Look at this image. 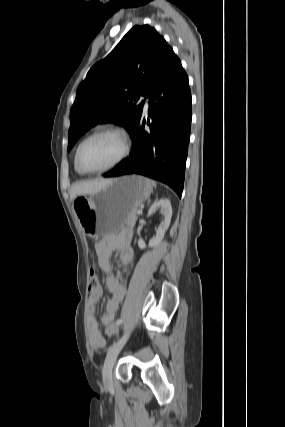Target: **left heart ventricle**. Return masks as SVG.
<instances>
[{
    "label": "left heart ventricle",
    "mask_w": 285,
    "mask_h": 427,
    "mask_svg": "<svg viewBox=\"0 0 285 427\" xmlns=\"http://www.w3.org/2000/svg\"><path fill=\"white\" fill-rule=\"evenodd\" d=\"M123 140L116 134H101L85 144L81 151V164L85 169L96 170L108 166L122 153Z\"/></svg>",
    "instance_id": "1"
}]
</instances>
